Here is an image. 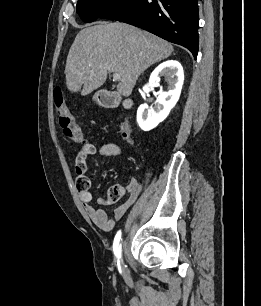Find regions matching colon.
<instances>
[{
    "label": "colon",
    "instance_id": "1",
    "mask_svg": "<svg viewBox=\"0 0 261 306\" xmlns=\"http://www.w3.org/2000/svg\"><path fill=\"white\" fill-rule=\"evenodd\" d=\"M53 101L59 125L65 135H67L75 142H80L82 144L77 153L76 160H86L93 153V145L82 140L80 129L77 126L72 113L66 105L63 92L60 88L54 89ZM121 131L122 135L127 140H131V131L127 125H122ZM87 186L88 184L85 182L77 184L78 188H86ZM122 195V190L117 186H113L107 191L106 194L99 198V203L102 205H110L112 203H115Z\"/></svg>",
    "mask_w": 261,
    "mask_h": 306
}]
</instances>
